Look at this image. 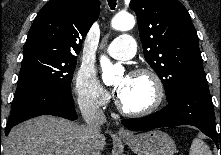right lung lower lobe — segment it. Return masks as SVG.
Returning a JSON list of instances; mask_svg holds the SVG:
<instances>
[{
  "instance_id": "right-lung-lower-lobe-1",
  "label": "right lung lower lobe",
  "mask_w": 221,
  "mask_h": 155,
  "mask_svg": "<svg viewBox=\"0 0 221 155\" xmlns=\"http://www.w3.org/2000/svg\"><path fill=\"white\" fill-rule=\"evenodd\" d=\"M45 114L69 120L76 119L77 114L72 95L62 93L44 85H32L26 88L12 103L11 113L5 128V135H8L10 129L20 122Z\"/></svg>"
}]
</instances>
